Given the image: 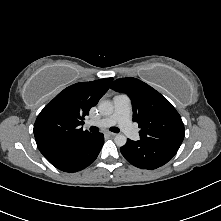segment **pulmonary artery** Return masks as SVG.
<instances>
[{"instance_id": "1", "label": "pulmonary artery", "mask_w": 221, "mask_h": 221, "mask_svg": "<svg viewBox=\"0 0 221 221\" xmlns=\"http://www.w3.org/2000/svg\"><path fill=\"white\" fill-rule=\"evenodd\" d=\"M114 111L113 113L98 121H89L88 125L99 127H110L118 124L123 132L132 140H138L139 134L131 122V100L126 94H117L113 98Z\"/></svg>"}]
</instances>
